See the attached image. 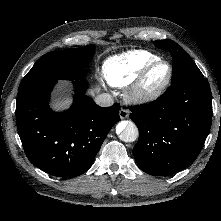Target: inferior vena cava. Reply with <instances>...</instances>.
I'll use <instances>...</instances> for the list:
<instances>
[{
	"label": "inferior vena cava",
	"instance_id": "inferior-vena-cava-1",
	"mask_svg": "<svg viewBox=\"0 0 221 221\" xmlns=\"http://www.w3.org/2000/svg\"><path fill=\"white\" fill-rule=\"evenodd\" d=\"M95 102L101 107H108L113 105L114 98L109 93H102L95 98Z\"/></svg>",
	"mask_w": 221,
	"mask_h": 221
}]
</instances>
